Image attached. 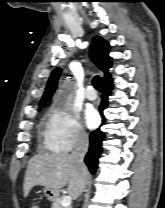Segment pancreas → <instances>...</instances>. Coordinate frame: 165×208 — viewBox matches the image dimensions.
<instances>
[{
    "mask_svg": "<svg viewBox=\"0 0 165 208\" xmlns=\"http://www.w3.org/2000/svg\"><path fill=\"white\" fill-rule=\"evenodd\" d=\"M61 201H62V198H56L53 203H52V207L51 208H63L62 205H61ZM64 208H71L70 206H67V207H64Z\"/></svg>",
    "mask_w": 165,
    "mask_h": 208,
    "instance_id": "pancreas-1",
    "label": "pancreas"
}]
</instances>
